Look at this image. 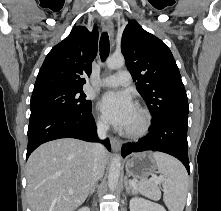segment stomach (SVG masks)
Listing matches in <instances>:
<instances>
[{
    "label": "stomach",
    "instance_id": "stomach-1",
    "mask_svg": "<svg viewBox=\"0 0 221 211\" xmlns=\"http://www.w3.org/2000/svg\"><path fill=\"white\" fill-rule=\"evenodd\" d=\"M126 172L135 178H146L156 169V162L151 152H141L126 162Z\"/></svg>",
    "mask_w": 221,
    "mask_h": 211
}]
</instances>
